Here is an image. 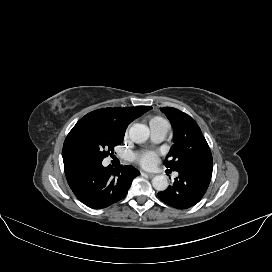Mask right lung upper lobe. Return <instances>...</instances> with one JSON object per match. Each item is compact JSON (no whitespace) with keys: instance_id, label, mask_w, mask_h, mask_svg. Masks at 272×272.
I'll return each instance as SVG.
<instances>
[{"instance_id":"obj_1","label":"right lung upper lobe","mask_w":272,"mask_h":272,"mask_svg":"<svg viewBox=\"0 0 272 272\" xmlns=\"http://www.w3.org/2000/svg\"><path fill=\"white\" fill-rule=\"evenodd\" d=\"M150 106H137L127 108H103L88 113L91 116L97 117L104 121L113 124L118 129L125 132L127 126L135 118L141 116L148 111Z\"/></svg>"}]
</instances>
